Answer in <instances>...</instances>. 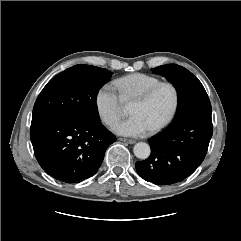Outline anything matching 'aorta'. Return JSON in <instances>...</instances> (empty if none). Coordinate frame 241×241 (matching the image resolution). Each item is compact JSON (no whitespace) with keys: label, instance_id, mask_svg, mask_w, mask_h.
I'll list each match as a JSON object with an SVG mask.
<instances>
[{"label":"aorta","instance_id":"obj_1","mask_svg":"<svg viewBox=\"0 0 241 241\" xmlns=\"http://www.w3.org/2000/svg\"><path fill=\"white\" fill-rule=\"evenodd\" d=\"M134 155L139 159H147L150 155V146L145 142L136 143L133 148Z\"/></svg>","mask_w":241,"mask_h":241}]
</instances>
